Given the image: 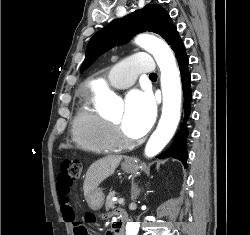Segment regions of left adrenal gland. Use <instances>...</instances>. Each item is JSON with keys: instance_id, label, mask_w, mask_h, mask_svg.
Instances as JSON below:
<instances>
[{"instance_id": "obj_1", "label": "left adrenal gland", "mask_w": 250, "mask_h": 235, "mask_svg": "<svg viewBox=\"0 0 250 235\" xmlns=\"http://www.w3.org/2000/svg\"><path fill=\"white\" fill-rule=\"evenodd\" d=\"M139 194L140 189H138L137 185L134 184V186L132 187V200H136Z\"/></svg>"}]
</instances>
